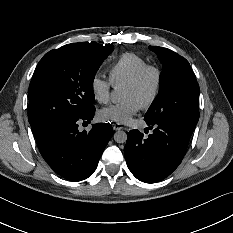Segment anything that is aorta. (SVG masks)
Instances as JSON below:
<instances>
[{"label":"aorta","instance_id":"obj_1","mask_svg":"<svg viewBox=\"0 0 233 233\" xmlns=\"http://www.w3.org/2000/svg\"><path fill=\"white\" fill-rule=\"evenodd\" d=\"M121 96L119 89H114L110 95L112 103H118L121 100ZM114 140L117 143H125L127 140V134L124 131L119 130L114 134Z\"/></svg>","mask_w":233,"mask_h":233}]
</instances>
